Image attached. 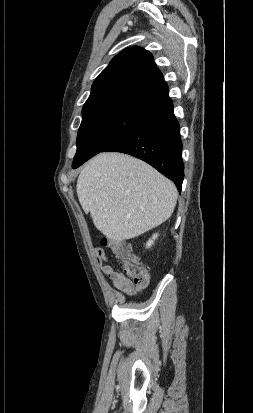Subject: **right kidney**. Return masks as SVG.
<instances>
[{
	"instance_id": "1",
	"label": "right kidney",
	"mask_w": 253,
	"mask_h": 413,
	"mask_svg": "<svg viewBox=\"0 0 253 413\" xmlns=\"http://www.w3.org/2000/svg\"><path fill=\"white\" fill-rule=\"evenodd\" d=\"M158 237V234H154L152 239H150L147 244L146 247L149 248L150 246H152V244L154 243V240Z\"/></svg>"
}]
</instances>
